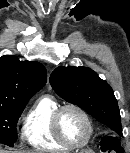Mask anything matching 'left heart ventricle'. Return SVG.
Returning <instances> with one entry per match:
<instances>
[{
    "label": "left heart ventricle",
    "instance_id": "obj_1",
    "mask_svg": "<svg viewBox=\"0 0 130 153\" xmlns=\"http://www.w3.org/2000/svg\"><path fill=\"white\" fill-rule=\"evenodd\" d=\"M60 129L64 137L74 144L82 143L88 132L84 118L72 109L64 111L61 115Z\"/></svg>",
    "mask_w": 130,
    "mask_h": 153
}]
</instances>
